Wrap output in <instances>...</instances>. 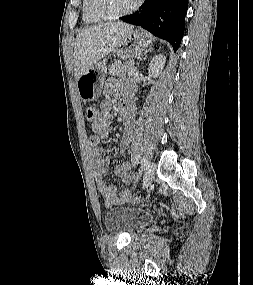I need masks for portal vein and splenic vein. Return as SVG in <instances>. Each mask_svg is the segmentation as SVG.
<instances>
[{"label":"portal vein and splenic vein","mask_w":253,"mask_h":285,"mask_svg":"<svg viewBox=\"0 0 253 285\" xmlns=\"http://www.w3.org/2000/svg\"><path fill=\"white\" fill-rule=\"evenodd\" d=\"M135 71H136V67H132L129 71H128V75L129 76H132L134 73H135Z\"/></svg>","instance_id":"obj_1"}]
</instances>
